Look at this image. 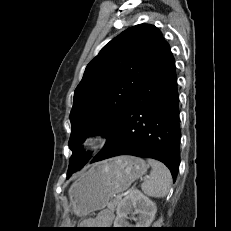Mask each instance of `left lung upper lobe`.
I'll use <instances>...</instances> for the list:
<instances>
[{
	"instance_id": "obj_1",
	"label": "left lung upper lobe",
	"mask_w": 231,
	"mask_h": 231,
	"mask_svg": "<svg viewBox=\"0 0 231 231\" xmlns=\"http://www.w3.org/2000/svg\"><path fill=\"white\" fill-rule=\"evenodd\" d=\"M165 42L158 28L139 24L111 40L87 65L70 113L72 156L67 176L90 159L81 148L87 136L109 135Z\"/></svg>"
}]
</instances>
